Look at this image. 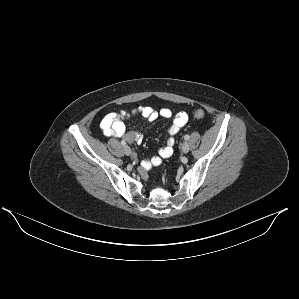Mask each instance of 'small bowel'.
<instances>
[{"instance_id":"obj_1","label":"small bowel","mask_w":299,"mask_h":299,"mask_svg":"<svg viewBox=\"0 0 299 299\" xmlns=\"http://www.w3.org/2000/svg\"><path fill=\"white\" fill-rule=\"evenodd\" d=\"M141 115L148 120H155L158 116L163 118L173 117V121L167 128V139L165 145L159 149L158 154L144 160L139 168V173L143 179L147 178V171L155 166L162 164L164 159L172 157L175 143V136L182 129L187 122V114L185 112H179L173 116L170 109L163 108L160 111H156L151 107H138L133 108L130 111L121 110L119 112H111L104 116L101 120L100 126L103 133L106 136H112L115 138H122L130 144L140 143L142 136L140 133L134 130H127L124 121L131 116Z\"/></svg>"}]
</instances>
